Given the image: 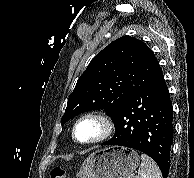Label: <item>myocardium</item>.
Returning a JSON list of instances; mask_svg holds the SVG:
<instances>
[{
  "mask_svg": "<svg viewBox=\"0 0 194 178\" xmlns=\"http://www.w3.org/2000/svg\"><path fill=\"white\" fill-rule=\"evenodd\" d=\"M88 119L95 120L99 123L100 125V132L99 135L87 142L80 141L77 136H76V130L78 125ZM115 125L113 120L109 115H107L104 112L101 111H89L84 113L83 115L79 116L76 121L73 124L72 127V139L74 140L75 143L84 145V146H90V145H95L102 143L106 141L114 132Z\"/></svg>",
  "mask_w": 194,
  "mask_h": 178,
  "instance_id": "obj_1",
  "label": "myocardium"
}]
</instances>
